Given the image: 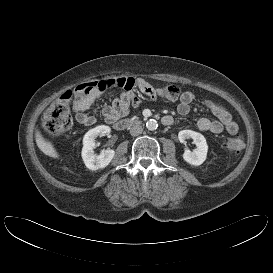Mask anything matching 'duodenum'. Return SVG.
<instances>
[{
    "label": "duodenum",
    "mask_w": 273,
    "mask_h": 273,
    "mask_svg": "<svg viewBox=\"0 0 273 273\" xmlns=\"http://www.w3.org/2000/svg\"><path fill=\"white\" fill-rule=\"evenodd\" d=\"M140 120L136 119V118H126V119H118V120H114L111 124L114 126V128L118 129V130H124L127 129L129 127L132 126H136L138 124H140ZM161 122L164 125L168 124V119L167 118H162Z\"/></svg>",
    "instance_id": "1"
}]
</instances>
